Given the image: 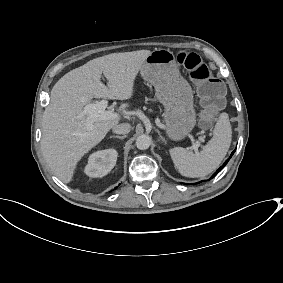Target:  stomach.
Listing matches in <instances>:
<instances>
[{"label": "stomach", "instance_id": "stomach-1", "mask_svg": "<svg viewBox=\"0 0 283 283\" xmlns=\"http://www.w3.org/2000/svg\"><path fill=\"white\" fill-rule=\"evenodd\" d=\"M141 75L154 86L156 98L164 106L166 136L175 142L183 141L195 128L197 114L193 89L182 76L173 52L168 49L151 52Z\"/></svg>", "mask_w": 283, "mask_h": 283}]
</instances>
